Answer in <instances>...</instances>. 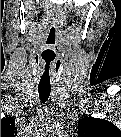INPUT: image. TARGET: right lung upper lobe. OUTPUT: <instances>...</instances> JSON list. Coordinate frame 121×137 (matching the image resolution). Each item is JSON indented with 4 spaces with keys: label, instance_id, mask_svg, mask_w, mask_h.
<instances>
[{
    "label": "right lung upper lobe",
    "instance_id": "cb5924a9",
    "mask_svg": "<svg viewBox=\"0 0 121 137\" xmlns=\"http://www.w3.org/2000/svg\"><path fill=\"white\" fill-rule=\"evenodd\" d=\"M15 130V121L14 119L10 117H6L1 119V135L6 134H12Z\"/></svg>",
    "mask_w": 121,
    "mask_h": 137
}]
</instances>
